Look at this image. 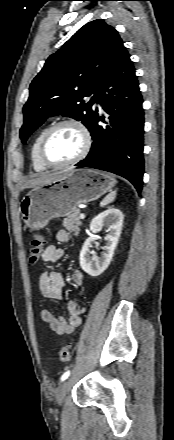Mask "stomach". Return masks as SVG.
Listing matches in <instances>:
<instances>
[{
    "instance_id": "obj_1",
    "label": "stomach",
    "mask_w": 174,
    "mask_h": 440,
    "mask_svg": "<svg viewBox=\"0 0 174 440\" xmlns=\"http://www.w3.org/2000/svg\"><path fill=\"white\" fill-rule=\"evenodd\" d=\"M107 173L77 169L34 187L20 203L21 216L31 229L45 227L51 219L72 214L81 203L93 201L115 185Z\"/></svg>"
}]
</instances>
